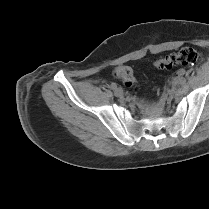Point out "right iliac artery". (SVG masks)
Masks as SVG:
<instances>
[{"label":"right iliac artery","mask_w":209,"mask_h":209,"mask_svg":"<svg viewBox=\"0 0 209 209\" xmlns=\"http://www.w3.org/2000/svg\"><path fill=\"white\" fill-rule=\"evenodd\" d=\"M111 88H112V89H116V88H117V84H116V83H112V84H111Z\"/></svg>","instance_id":"obj_1"}]
</instances>
